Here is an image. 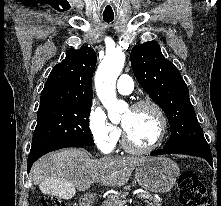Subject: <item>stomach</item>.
<instances>
[{
  "label": "stomach",
  "mask_w": 221,
  "mask_h": 206,
  "mask_svg": "<svg viewBox=\"0 0 221 206\" xmlns=\"http://www.w3.org/2000/svg\"><path fill=\"white\" fill-rule=\"evenodd\" d=\"M176 163L165 157H153L139 163L135 170L138 184L152 192H168L179 176Z\"/></svg>",
  "instance_id": "0dacf381"
}]
</instances>
